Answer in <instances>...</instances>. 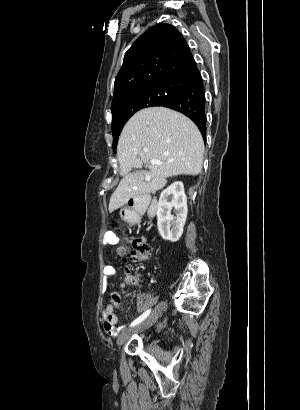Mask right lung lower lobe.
I'll return each instance as SVG.
<instances>
[{"label":"right lung lower lobe","instance_id":"obj_1","mask_svg":"<svg viewBox=\"0 0 300 410\" xmlns=\"http://www.w3.org/2000/svg\"><path fill=\"white\" fill-rule=\"evenodd\" d=\"M205 89L203 79L197 70L181 91L161 106L174 109L188 116L206 139Z\"/></svg>","mask_w":300,"mask_h":410}]
</instances>
